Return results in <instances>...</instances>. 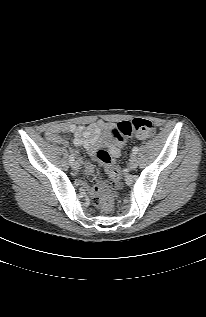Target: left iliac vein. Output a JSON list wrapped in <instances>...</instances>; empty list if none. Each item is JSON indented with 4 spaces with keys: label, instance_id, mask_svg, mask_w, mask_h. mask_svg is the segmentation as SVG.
<instances>
[{
    "label": "left iliac vein",
    "instance_id": "1",
    "mask_svg": "<svg viewBox=\"0 0 206 317\" xmlns=\"http://www.w3.org/2000/svg\"><path fill=\"white\" fill-rule=\"evenodd\" d=\"M137 166H138L137 157L135 155H133L130 159L128 167H129V169L134 170L135 168H137Z\"/></svg>",
    "mask_w": 206,
    "mask_h": 317
}]
</instances>
